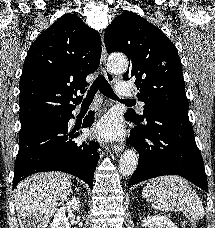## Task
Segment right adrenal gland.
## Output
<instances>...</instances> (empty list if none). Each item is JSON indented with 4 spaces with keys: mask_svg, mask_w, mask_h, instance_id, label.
<instances>
[{
    "mask_svg": "<svg viewBox=\"0 0 215 228\" xmlns=\"http://www.w3.org/2000/svg\"><path fill=\"white\" fill-rule=\"evenodd\" d=\"M74 188H75L76 192H79V190H78L77 186H74Z\"/></svg>",
    "mask_w": 215,
    "mask_h": 228,
    "instance_id": "right-adrenal-gland-1",
    "label": "right adrenal gland"
}]
</instances>
